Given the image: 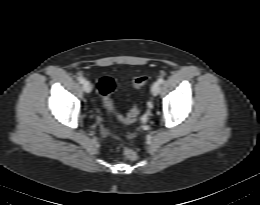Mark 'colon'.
I'll return each mask as SVG.
<instances>
[{
  "label": "colon",
  "instance_id": "1",
  "mask_svg": "<svg viewBox=\"0 0 260 205\" xmlns=\"http://www.w3.org/2000/svg\"><path fill=\"white\" fill-rule=\"evenodd\" d=\"M148 80L149 78L147 75H138L132 79L131 85L132 87L138 89L146 85ZM97 86L100 94L103 97V101L106 108L112 114H114V116L119 122L129 124L137 120L139 116V109L137 106H133L128 111L126 116H122L116 112L113 100L111 98L112 93L116 89V82L114 81L113 78L109 76H103L99 79ZM124 153L129 160H136L138 158V154L132 149H125Z\"/></svg>",
  "mask_w": 260,
  "mask_h": 205
}]
</instances>
